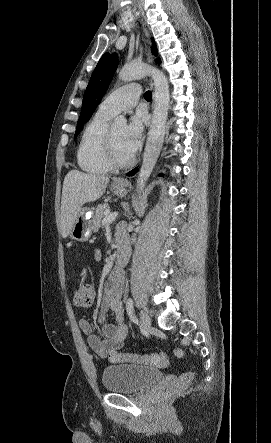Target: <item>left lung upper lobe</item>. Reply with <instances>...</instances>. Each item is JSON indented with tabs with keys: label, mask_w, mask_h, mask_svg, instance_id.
I'll use <instances>...</instances> for the list:
<instances>
[{
	"label": "left lung upper lobe",
	"mask_w": 271,
	"mask_h": 443,
	"mask_svg": "<svg viewBox=\"0 0 271 443\" xmlns=\"http://www.w3.org/2000/svg\"><path fill=\"white\" fill-rule=\"evenodd\" d=\"M152 51L156 55V51L154 49ZM117 65L118 56L115 53H105L99 60L84 93L81 114L77 122L75 137L78 136L82 130L83 124L90 119L97 105L100 103L110 84Z\"/></svg>",
	"instance_id": "1"
}]
</instances>
